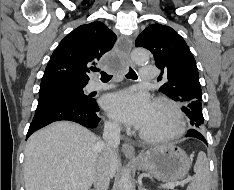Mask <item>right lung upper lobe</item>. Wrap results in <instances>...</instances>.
<instances>
[{"label": "right lung upper lobe", "instance_id": "cb5924a9", "mask_svg": "<svg viewBox=\"0 0 234 190\" xmlns=\"http://www.w3.org/2000/svg\"><path fill=\"white\" fill-rule=\"evenodd\" d=\"M117 37L104 23L94 21L81 25L65 38L53 52L42 81L62 79L87 83V73L110 51Z\"/></svg>", "mask_w": 234, "mask_h": 190}]
</instances>
